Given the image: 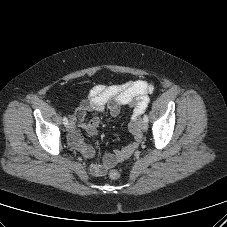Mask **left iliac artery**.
I'll return each instance as SVG.
<instances>
[{
	"mask_svg": "<svg viewBox=\"0 0 227 227\" xmlns=\"http://www.w3.org/2000/svg\"><path fill=\"white\" fill-rule=\"evenodd\" d=\"M143 120H144L145 122H148V120H149V119H148V116H147V115H144V116H143Z\"/></svg>",
	"mask_w": 227,
	"mask_h": 227,
	"instance_id": "1",
	"label": "left iliac artery"
}]
</instances>
